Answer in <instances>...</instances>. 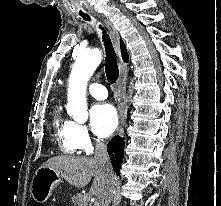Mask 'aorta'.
<instances>
[{
	"mask_svg": "<svg viewBox=\"0 0 221 206\" xmlns=\"http://www.w3.org/2000/svg\"><path fill=\"white\" fill-rule=\"evenodd\" d=\"M102 53L99 49L79 52L72 67L68 85L67 112L74 120H87L86 87L90 77L99 66Z\"/></svg>",
	"mask_w": 221,
	"mask_h": 206,
	"instance_id": "762f6f07",
	"label": "aorta"
}]
</instances>
